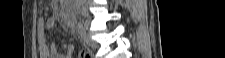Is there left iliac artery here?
Here are the masks:
<instances>
[{
    "instance_id": "left-iliac-artery-1",
    "label": "left iliac artery",
    "mask_w": 225,
    "mask_h": 58,
    "mask_svg": "<svg viewBox=\"0 0 225 58\" xmlns=\"http://www.w3.org/2000/svg\"><path fill=\"white\" fill-rule=\"evenodd\" d=\"M77 29L81 35L85 33V26L81 22L78 23Z\"/></svg>"
}]
</instances>
